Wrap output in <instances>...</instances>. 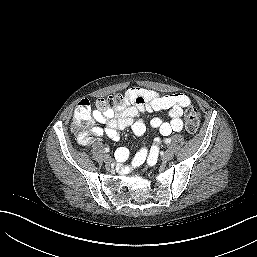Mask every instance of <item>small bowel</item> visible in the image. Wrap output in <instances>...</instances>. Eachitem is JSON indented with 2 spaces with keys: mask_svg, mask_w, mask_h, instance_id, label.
Here are the masks:
<instances>
[{
  "mask_svg": "<svg viewBox=\"0 0 257 257\" xmlns=\"http://www.w3.org/2000/svg\"><path fill=\"white\" fill-rule=\"evenodd\" d=\"M191 100L184 94L161 95L158 92L146 88L134 87L128 90L125 102L115 110L93 111L92 123L103 124L104 127L94 126L88 132L78 134V142L88 145L92 142L93 137H100L104 133L113 140H118L120 131L131 128L136 136L145 133L146 126L141 119L146 113L152 111L165 110L168 112L170 119L163 120L155 117L151 120L150 125L153 129L159 131L162 136H168L174 132H180L183 128V112L190 106ZM76 111L74 112V119ZM159 140L150 149L142 148L133 158L132 168L142 164L151 166L157 158ZM130 156L126 148H120L116 152V158L119 162H125Z\"/></svg>",
  "mask_w": 257,
  "mask_h": 257,
  "instance_id": "1",
  "label": "small bowel"
}]
</instances>
